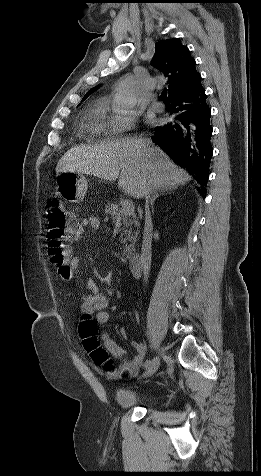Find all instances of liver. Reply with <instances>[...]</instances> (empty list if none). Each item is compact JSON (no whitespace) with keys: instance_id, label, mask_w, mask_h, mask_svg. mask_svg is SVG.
I'll use <instances>...</instances> for the list:
<instances>
[{"instance_id":"1","label":"liver","mask_w":261,"mask_h":476,"mask_svg":"<svg viewBox=\"0 0 261 476\" xmlns=\"http://www.w3.org/2000/svg\"><path fill=\"white\" fill-rule=\"evenodd\" d=\"M143 142L149 143L148 147H142ZM62 172L89 174L108 181L118 179V186L137 199L144 196L147 181L154 190H171L191 180V176L150 139L141 137L71 148L56 166V173Z\"/></svg>"}]
</instances>
